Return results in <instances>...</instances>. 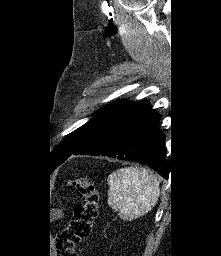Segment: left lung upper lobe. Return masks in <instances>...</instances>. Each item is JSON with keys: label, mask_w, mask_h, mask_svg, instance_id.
Returning <instances> with one entry per match:
<instances>
[{"label": "left lung upper lobe", "mask_w": 221, "mask_h": 256, "mask_svg": "<svg viewBox=\"0 0 221 256\" xmlns=\"http://www.w3.org/2000/svg\"><path fill=\"white\" fill-rule=\"evenodd\" d=\"M140 104H129L127 101H115L104 108L98 110L95 115L86 124L76 129L58 144L52 151L49 157V164L51 168L63 163L85 140H87L97 130H100L107 122L118 118Z\"/></svg>", "instance_id": "obj_1"}]
</instances>
